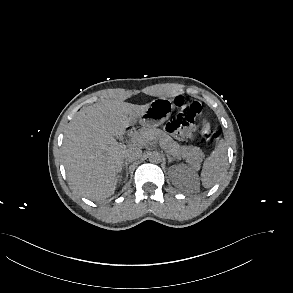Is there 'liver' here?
Listing matches in <instances>:
<instances>
[{"mask_svg": "<svg viewBox=\"0 0 293 293\" xmlns=\"http://www.w3.org/2000/svg\"><path fill=\"white\" fill-rule=\"evenodd\" d=\"M148 107L103 100L77 113L62 145L67 179L76 191L91 200L106 199L114 193L125 152L143 148L141 143L126 146L115 137L123 135Z\"/></svg>", "mask_w": 293, "mask_h": 293, "instance_id": "6515ba94", "label": "liver"}]
</instances>
